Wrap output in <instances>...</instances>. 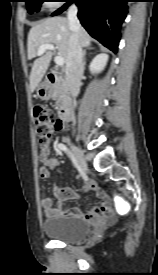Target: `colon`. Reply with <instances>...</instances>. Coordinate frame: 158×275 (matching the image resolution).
<instances>
[{
	"mask_svg": "<svg viewBox=\"0 0 158 275\" xmlns=\"http://www.w3.org/2000/svg\"><path fill=\"white\" fill-rule=\"evenodd\" d=\"M33 117L36 127L38 144L40 148H46L51 139L52 132L60 126V120L43 105H36L33 109ZM111 214L108 210L104 213L106 217Z\"/></svg>",
	"mask_w": 158,
	"mask_h": 275,
	"instance_id": "5ec220e1",
	"label": "colon"
}]
</instances>
